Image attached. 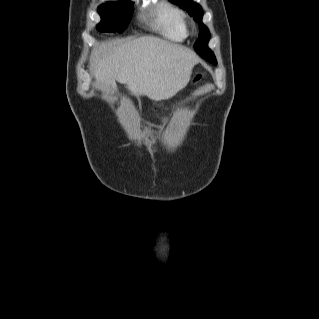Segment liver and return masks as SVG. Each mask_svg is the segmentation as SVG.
<instances>
[{"label": "liver", "mask_w": 319, "mask_h": 319, "mask_svg": "<svg viewBox=\"0 0 319 319\" xmlns=\"http://www.w3.org/2000/svg\"><path fill=\"white\" fill-rule=\"evenodd\" d=\"M198 61L190 49L153 36L104 42L90 59L98 86L115 89L116 80L133 95L155 101L167 100L183 89Z\"/></svg>", "instance_id": "6515ba94"}]
</instances>
